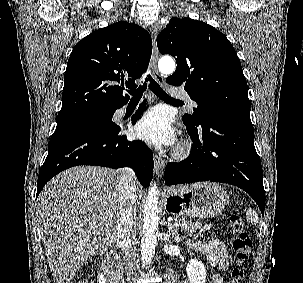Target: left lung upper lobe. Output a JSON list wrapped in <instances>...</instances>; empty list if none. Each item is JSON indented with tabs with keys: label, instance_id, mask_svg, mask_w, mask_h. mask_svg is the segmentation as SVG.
Listing matches in <instances>:
<instances>
[{
	"label": "left lung upper lobe",
	"instance_id": "obj_1",
	"mask_svg": "<svg viewBox=\"0 0 303 283\" xmlns=\"http://www.w3.org/2000/svg\"><path fill=\"white\" fill-rule=\"evenodd\" d=\"M162 54L172 55L176 71L166 79L185 85L198 107L183 122L198 127L206 113L250 116L247 83L233 45L224 34L207 23L173 17L157 36Z\"/></svg>",
	"mask_w": 303,
	"mask_h": 283
}]
</instances>
